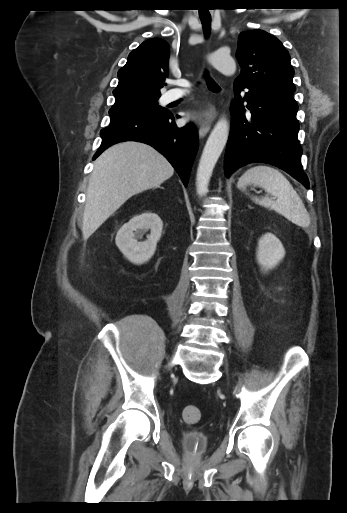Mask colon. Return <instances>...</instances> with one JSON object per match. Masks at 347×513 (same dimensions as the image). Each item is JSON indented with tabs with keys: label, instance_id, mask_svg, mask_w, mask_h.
<instances>
[{
	"label": "colon",
	"instance_id": "5ec220e1",
	"mask_svg": "<svg viewBox=\"0 0 347 513\" xmlns=\"http://www.w3.org/2000/svg\"><path fill=\"white\" fill-rule=\"evenodd\" d=\"M182 417L185 423L195 424L201 419V411L195 405H187L182 410Z\"/></svg>",
	"mask_w": 347,
	"mask_h": 513
}]
</instances>
